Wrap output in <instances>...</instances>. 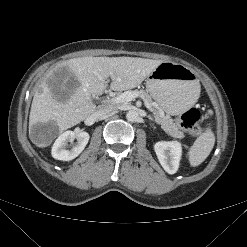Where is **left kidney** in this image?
Returning a JSON list of instances; mask_svg holds the SVG:
<instances>
[{
  "mask_svg": "<svg viewBox=\"0 0 247 247\" xmlns=\"http://www.w3.org/2000/svg\"><path fill=\"white\" fill-rule=\"evenodd\" d=\"M154 149L163 169L169 174L176 173L182 155L181 143L178 141L157 142Z\"/></svg>",
  "mask_w": 247,
  "mask_h": 247,
  "instance_id": "obj_1",
  "label": "left kidney"
}]
</instances>
